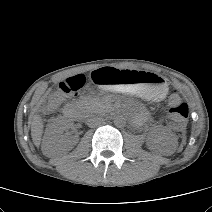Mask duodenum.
Masks as SVG:
<instances>
[{
    "label": "duodenum",
    "instance_id": "410a0bca",
    "mask_svg": "<svg viewBox=\"0 0 212 212\" xmlns=\"http://www.w3.org/2000/svg\"><path fill=\"white\" fill-rule=\"evenodd\" d=\"M64 114H65V116H67L68 118H72V119H74V118L77 117V112H76L75 108L72 107V106H67V107L64 109ZM141 119H142V118L140 117V120H141Z\"/></svg>",
    "mask_w": 212,
    "mask_h": 212
}]
</instances>
